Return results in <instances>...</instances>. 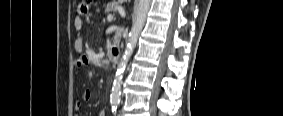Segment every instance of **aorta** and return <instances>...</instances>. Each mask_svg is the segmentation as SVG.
<instances>
[{
  "mask_svg": "<svg viewBox=\"0 0 283 116\" xmlns=\"http://www.w3.org/2000/svg\"><path fill=\"white\" fill-rule=\"evenodd\" d=\"M150 4H151V0H139L138 1L136 17H135V20L133 21V25L129 33L128 43L126 45L124 54L118 64V67L115 73L112 91L110 95L111 103H118L120 101L123 74L127 66V63L136 47L138 37L144 27V24L147 18V14L150 9Z\"/></svg>",
  "mask_w": 283,
  "mask_h": 116,
  "instance_id": "762f6f07",
  "label": "aorta"
}]
</instances>
